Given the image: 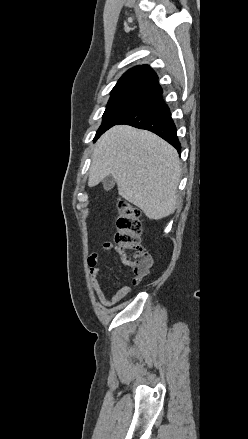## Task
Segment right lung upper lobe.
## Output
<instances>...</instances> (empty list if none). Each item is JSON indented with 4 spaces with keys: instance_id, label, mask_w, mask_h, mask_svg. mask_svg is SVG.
<instances>
[{
    "instance_id": "right-lung-upper-lobe-1",
    "label": "right lung upper lobe",
    "mask_w": 248,
    "mask_h": 439,
    "mask_svg": "<svg viewBox=\"0 0 248 439\" xmlns=\"http://www.w3.org/2000/svg\"><path fill=\"white\" fill-rule=\"evenodd\" d=\"M163 93L155 72L147 65L129 69L118 80L111 91L112 95L136 94L155 98Z\"/></svg>"
}]
</instances>
